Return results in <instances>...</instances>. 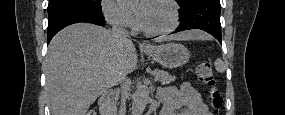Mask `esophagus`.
<instances>
[{
    "label": "esophagus",
    "instance_id": "esophagus-1",
    "mask_svg": "<svg viewBox=\"0 0 285 115\" xmlns=\"http://www.w3.org/2000/svg\"><path fill=\"white\" fill-rule=\"evenodd\" d=\"M141 46H142V47H147V44L143 43Z\"/></svg>",
    "mask_w": 285,
    "mask_h": 115
}]
</instances>
